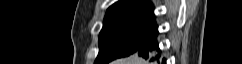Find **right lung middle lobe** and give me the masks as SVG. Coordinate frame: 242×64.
<instances>
[{
	"instance_id": "1",
	"label": "right lung middle lobe",
	"mask_w": 242,
	"mask_h": 64,
	"mask_svg": "<svg viewBox=\"0 0 242 64\" xmlns=\"http://www.w3.org/2000/svg\"><path fill=\"white\" fill-rule=\"evenodd\" d=\"M153 13H123L105 17L95 64L128 56L147 45L158 33Z\"/></svg>"
}]
</instances>
